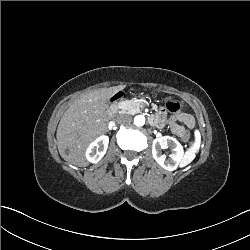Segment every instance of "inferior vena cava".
<instances>
[{
	"instance_id": "602c4592",
	"label": "inferior vena cava",
	"mask_w": 250,
	"mask_h": 250,
	"mask_svg": "<svg viewBox=\"0 0 250 250\" xmlns=\"http://www.w3.org/2000/svg\"><path fill=\"white\" fill-rule=\"evenodd\" d=\"M117 121L121 124H130L132 122V116L128 114H120L117 117Z\"/></svg>"
}]
</instances>
